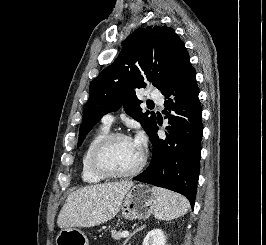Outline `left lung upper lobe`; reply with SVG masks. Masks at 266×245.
<instances>
[{
  "instance_id": "left-lung-upper-lobe-1",
  "label": "left lung upper lobe",
  "mask_w": 266,
  "mask_h": 245,
  "mask_svg": "<svg viewBox=\"0 0 266 245\" xmlns=\"http://www.w3.org/2000/svg\"><path fill=\"white\" fill-rule=\"evenodd\" d=\"M188 57L184 42L171 27L139 28L132 33L114 63L90 84L78 147L103 115L121 106L149 134L156 116L142 112L136 90L150 82L162 91Z\"/></svg>"
}]
</instances>
